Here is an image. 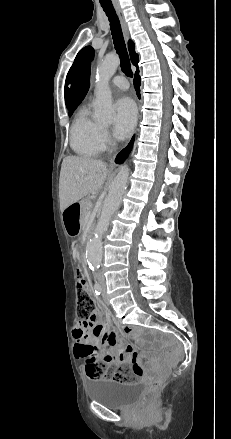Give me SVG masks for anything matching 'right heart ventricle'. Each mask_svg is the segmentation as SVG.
Listing matches in <instances>:
<instances>
[{
    "label": "right heart ventricle",
    "mask_w": 231,
    "mask_h": 439,
    "mask_svg": "<svg viewBox=\"0 0 231 439\" xmlns=\"http://www.w3.org/2000/svg\"><path fill=\"white\" fill-rule=\"evenodd\" d=\"M100 124L94 120L87 107L77 111L70 129V146L81 157H95L102 151L99 140Z\"/></svg>",
    "instance_id": "right-heart-ventricle-1"
}]
</instances>
